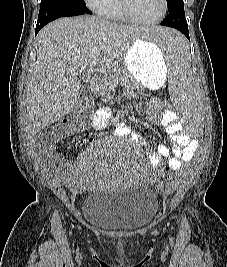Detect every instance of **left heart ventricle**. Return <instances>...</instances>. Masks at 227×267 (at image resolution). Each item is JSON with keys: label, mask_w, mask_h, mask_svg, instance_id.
I'll return each instance as SVG.
<instances>
[{"label": "left heart ventricle", "mask_w": 227, "mask_h": 267, "mask_svg": "<svg viewBox=\"0 0 227 267\" xmlns=\"http://www.w3.org/2000/svg\"><path fill=\"white\" fill-rule=\"evenodd\" d=\"M132 11L141 19H156L162 12V0H130Z\"/></svg>", "instance_id": "obj_1"}]
</instances>
